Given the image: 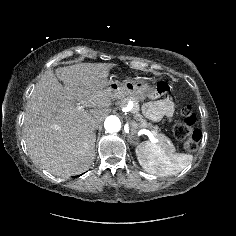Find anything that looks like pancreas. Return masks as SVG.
<instances>
[{
  "instance_id": "1",
  "label": "pancreas",
  "mask_w": 236,
  "mask_h": 236,
  "mask_svg": "<svg viewBox=\"0 0 236 236\" xmlns=\"http://www.w3.org/2000/svg\"><path fill=\"white\" fill-rule=\"evenodd\" d=\"M126 101V100H125ZM134 114L135 119L138 121L139 126L141 128H151L155 133L154 136L158 140V144L167 152H174L175 147L170 143L169 139L161 133H158V127L152 126V124L148 123L146 119L139 113V106L137 103L134 104V107L131 111Z\"/></svg>"
}]
</instances>
